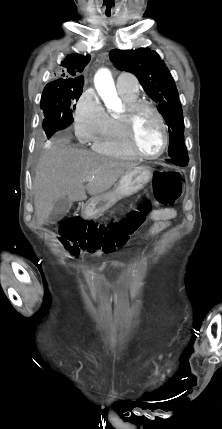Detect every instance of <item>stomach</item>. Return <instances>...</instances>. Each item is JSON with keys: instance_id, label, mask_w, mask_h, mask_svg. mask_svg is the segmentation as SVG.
Listing matches in <instances>:
<instances>
[{"instance_id": "0dacf381", "label": "stomach", "mask_w": 222, "mask_h": 429, "mask_svg": "<svg viewBox=\"0 0 222 429\" xmlns=\"http://www.w3.org/2000/svg\"><path fill=\"white\" fill-rule=\"evenodd\" d=\"M152 172L147 166H138L120 178L116 187L107 193L88 200L84 215L88 218L97 217L110 209L117 201L142 190L152 179Z\"/></svg>"}]
</instances>
